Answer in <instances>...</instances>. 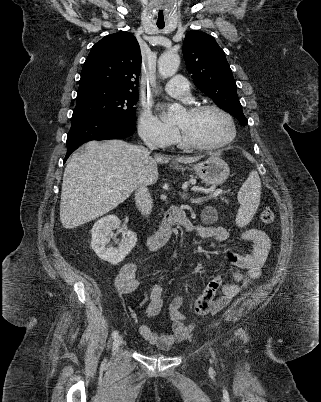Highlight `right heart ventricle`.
I'll list each match as a JSON object with an SVG mask.
<instances>
[{
    "instance_id": "e07e8e85",
    "label": "right heart ventricle",
    "mask_w": 321,
    "mask_h": 402,
    "mask_svg": "<svg viewBox=\"0 0 321 402\" xmlns=\"http://www.w3.org/2000/svg\"><path fill=\"white\" fill-rule=\"evenodd\" d=\"M175 141L178 143V145H179V146H181V147L183 146V144H182V142H181V140H180V139L176 138V140H175Z\"/></svg>"
}]
</instances>
